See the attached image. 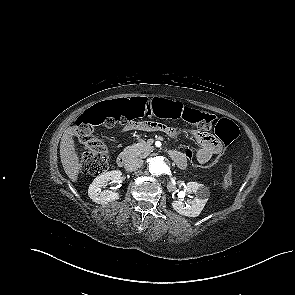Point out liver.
I'll return each instance as SVG.
<instances>
[{
    "label": "liver",
    "mask_w": 295,
    "mask_h": 295,
    "mask_svg": "<svg viewBox=\"0 0 295 295\" xmlns=\"http://www.w3.org/2000/svg\"><path fill=\"white\" fill-rule=\"evenodd\" d=\"M73 135V129L63 134L60 142V157L65 173L72 182H76L82 164L75 149Z\"/></svg>",
    "instance_id": "obj_1"
}]
</instances>
